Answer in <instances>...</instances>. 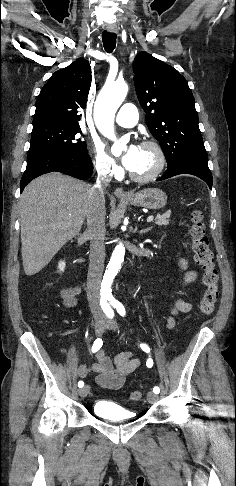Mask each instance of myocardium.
Instances as JSON below:
<instances>
[{"label":"myocardium","mask_w":236,"mask_h":486,"mask_svg":"<svg viewBox=\"0 0 236 486\" xmlns=\"http://www.w3.org/2000/svg\"><path fill=\"white\" fill-rule=\"evenodd\" d=\"M141 147H148L151 148L155 151L156 156H157V163L155 168L148 174L145 175H138L133 173L132 171L129 172V176L133 181L140 182V183H146L155 180L160 176V174L163 172L165 165H166V155L161 147V145L153 140H146L143 141L140 145Z\"/></svg>","instance_id":"1"}]
</instances>
